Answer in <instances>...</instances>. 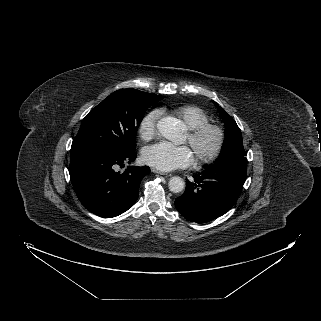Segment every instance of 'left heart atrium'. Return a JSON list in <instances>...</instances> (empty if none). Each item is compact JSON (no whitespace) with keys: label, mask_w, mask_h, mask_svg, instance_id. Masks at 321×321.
Segmentation results:
<instances>
[{"label":"left heart atrium","mask_w":321,"mask_h":321,"mask_svg":"<svg viewBox=\"0 0 321 321\" xmlns=\"http://www.w3.org/2000/svg\"><path fill=\"white\" fill-rule=\"evenodd\" d=\"M193 159V153L187 146H174L167 142L148 146L143 151L145 163L163 171L189 166Z\"/></svg>","instance_id":"39dd6f15"}]
</instances>
